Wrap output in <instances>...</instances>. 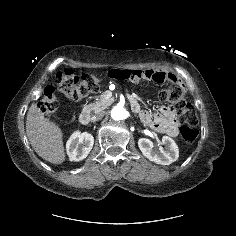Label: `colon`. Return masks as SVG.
<instances>
[{"label": "colon", "instance_id": "1", "mask_svg": "<svg viewBox=\"0 0 236 236\" xmlns=\"http://www.w3.org/2000/svg\"><path fill=\"white\" fill-rule=\"evenodd\" d=\"M69 100L79 101L95 93L100 88V80L89 73L77 74L71 69L57 72L53 77V84L44 88L38 107L43 115L50 117L58 109L56 88ZM162 102L172 104L177 108L179 119L185 123L180 129L183 140L193 143L198 137L195 126L198 123V115L191 103H183L184 90L179 85H168L157 94Z\"/></svg>", "mask_w": 236, "mask_h": 236}]
</instances>
